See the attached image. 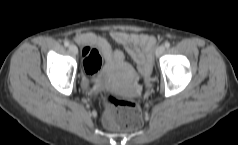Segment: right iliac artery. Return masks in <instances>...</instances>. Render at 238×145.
I'll return each instance as SVG.
<instances>
[{"mask_svg": "<svg viewBox=\"0 0 238 145\" xmlns=\"http://www.w3.org/2000/svg\"><path fill=\"white\" fill-rule=\"evenodd\" d=\"M69 45H70V43H69L68 41H65V42H64V46H65V47H68Z\"/></svg>", "mask_w": 238, "mask_h": 145, "instance_id": "right-iliac-artery-1", "label": "right iliac artery"}]
</instances>
